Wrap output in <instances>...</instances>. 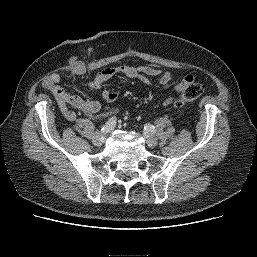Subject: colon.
I'll return each instance as SVG.
<instances>
[{
	"instance_id": "1",
	"label": "colon",
	"mask_w": 257,
	"mask_h": 257,
	"mask_svg": "<svg viewBox=\"0 0 257 257\" xmlns=\"http://www.w3.org/2000/svg\"><path fill=\"white\" fill-rule=\"evenodd\" d=\"M48 82L46 85L48 86ZM204 92V87L202 84L190 81L188 82L184 89L182 90L181 94L174 100L173 106L175 108H180L186 103L193 102L200 98Z\"/></svg>"
}]
</instances>
